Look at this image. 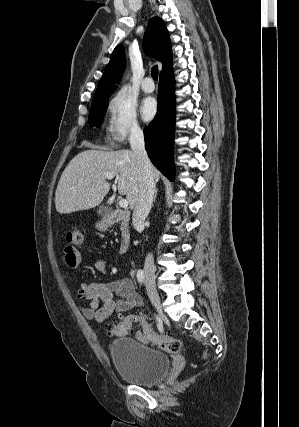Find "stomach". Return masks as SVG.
Here are the masks:
<instances>
[{"instance_id": "obj_1", "label": "stomach", "mask_w": 299, "mask_h": 427, "mask_svg": "<svg viewBox=\"0 0 299 427\" xmlns=\"http://www.w3.org/2000/svg\"><path fill=\"white\" fill-rule=\"evenodd\" d=\"M107 225V222H102V226H106Z\"/></svg>"}]
</instances>
